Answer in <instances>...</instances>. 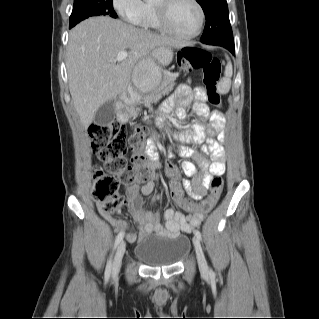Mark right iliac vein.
<instances>
[{
  "mask_svg": "<svg viewBox=\"0 0 319 319\" xmlns=\"http://www.w3.org/2000/svg\"><path fill=\"white\" fill-rule=\"evenodd\" d=\"M125 251H126V244L124 241H122L116 250L114 260L112 263V275L113 276H116L119 273Z\"/></svg>",
  "mask_w": 319,
  "mask_h": 319,
  "instance_id": "right-iliac-vein-1",
  "label": "right iliac vein"
}]
</instances>
